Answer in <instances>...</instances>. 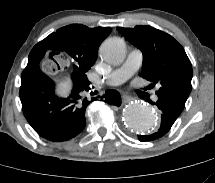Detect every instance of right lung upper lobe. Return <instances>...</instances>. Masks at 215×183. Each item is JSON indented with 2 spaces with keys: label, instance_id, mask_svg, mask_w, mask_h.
<instances>
[{
  "label": "right lung upper lobe",
  "instance_id": "obj_1",
  "mask_svg": "<svg viewBox=\"0 0 215 183\" xmlns=\"http://www.w3.org/2000/svg\"><path fill=\"white\" fill-rule=\"evenodd\" d=\"M110 32V27L88 28L81 24L68 25L36 44L32 52L43 58L47 52H51V55L64 53V47L72 45L81 48L88 57L96 60L98 48Z\"/></svg>",
  "mask_w": 215,
  "mask_h": 183
}]
</instances>
